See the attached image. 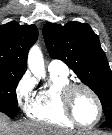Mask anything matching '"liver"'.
<instances>
[{"label":"liver","mask_w":112,"mask_h":135,"mask_svg":"<svg viewBox=\"0 0 112 135\" xmlns=\"http://www.w3.org/2000/svg\"><path fill=\"white\" fill-rule=\"evenodd\" d=\"M0 135H73V132L33 121L12 123L0 113Z\"/></svg>","instance_id":"obj_1"}]
</instances>
